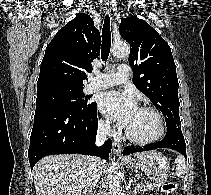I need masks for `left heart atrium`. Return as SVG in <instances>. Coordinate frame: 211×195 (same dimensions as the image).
Listing matches in <instances>:
<instances>
[{
    "mask_svg": "<svg viewBox=\"0 0 211 195\" xmlns=\"http://www.w3.org/2000/svg\"><path fill=\"white\" fill-rule=\"evenodd\" d=\"M99 109L122 126L127 127L138 107L132 94L109 91L100 96Z\"/></svg>",
    "mask_w": 211,
    "mask_h": 195,
    "instance_id": "39dd6f15",
    "label": "left heart atrium"
}]
</instances>
